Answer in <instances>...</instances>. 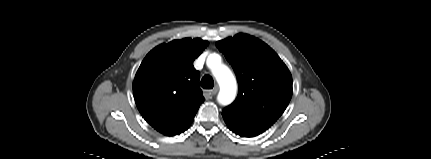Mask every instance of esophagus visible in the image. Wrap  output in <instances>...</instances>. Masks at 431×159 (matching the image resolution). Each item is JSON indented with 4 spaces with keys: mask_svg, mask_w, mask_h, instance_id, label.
Instances as JSON below:
<instances>
[{
    "mask_svg": "<svg viewBox=\"0 0 431 159\" xmlns=\"http://www.w3.org/2000/svg\"><path fill=\"white\" fill-rule=\"evenodd\" d=\"M218 90H219V87H218V86H215L212 90H210V91L208 92V94H209L210 96H213V95H215V94L218 92Z\"/></svg>",
    "mask_w": 431,
    "mask_h": 159,
    "instance_id": "34e87169",
    "label": "esophagus"
}]
</instances>
